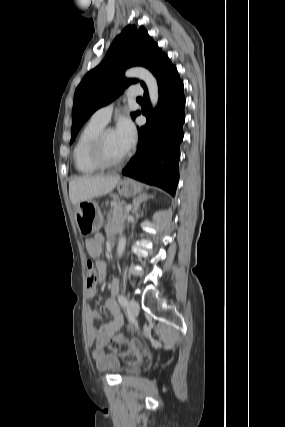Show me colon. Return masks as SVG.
<instances>
[{"label": "colon", "mask_w": 285, "mask_h": 427, "mask_svg": "<svg viewBox=\"0 0 285 427\" xmlns=\"http://www.w3.org/2000/svg\"><path fill=\"white\" fill-rule=\"evenodd\" d=\"M86 266V286L87 288H90L95 285L97 273L92 261L88 260ZM109 346L115 353L122 356L124 360L130 365L136 364L140 359L139 350L120 335L111 339V341L109 342Z\"/></svg>", "instance_id": "5ec220e1"}]
</instances>
